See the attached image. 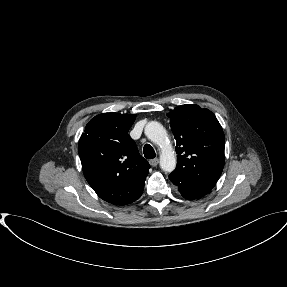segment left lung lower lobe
<instances>
[{"label": "left lung lower lobe", "mask_w": 287, "mask_h": 287, "mask_svg": "<svg viewBox=\"0 0 287 287\" xmlns=\"http://www.w3.org/2000/svg\"><path fill=\"white\" fill-rule=\"evenodd\" d=\"M180 193L184 198H187V199H197V198L203 197L202 195H195V194H190L187 192H180Z\"/></svg>", "instance_id": "0a47b994"}]
</instances>
